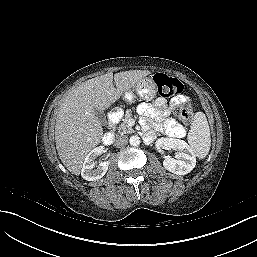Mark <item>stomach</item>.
<instances>
[{"mask_svg":"<svg viewBox=\"0 0 257 257\" xmlns=\"http://www.w3.org/2000/svg\"><path fill=\"white\" fill-rule=\"evenodd\" d=\"M157 93V87L152 78L146 77L141 79L133 89L125 92V99L128 101L133 100L134 96H138L142 100L150 101Z\"/></svg>","mask_w":257,"mask_h":257,"instance_id":"0dacf381","label":"stomach"}]
</instances>
